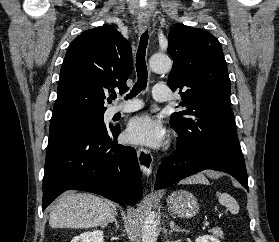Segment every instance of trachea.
<instances>
[{"mask_svg": "<svg viewBox=\"0 0 279 242\" xmlns=\"http://www.w3.org/2000/svg\"><path fill=\"white\" fill-rule=\"evenodd\" d=\"M148 45V31H145L139 42L137 54H136V70H137V82L131 90V93L127 95V98H131L137 95L140 91L144 90L147 86L148 71L145 61L146 48ZM112 99H116V95L111 96Z\"/></svg>", "mask_w": 279, "mask_h": 242, "instance_id": "trachea-1", "label": "trachea"}]
</instances>
